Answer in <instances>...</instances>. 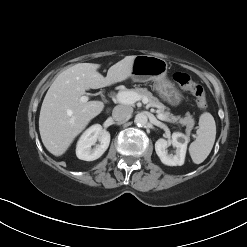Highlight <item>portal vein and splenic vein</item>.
<instances>
[{"instance_id":"1","label":"portal vein and splenic vein","mask_w":247,"mask_h":247,"mask_svg":"<svg viewBox=\"0 0 247 247\" xmlns=\"http://www.w3.org/2000/svg\"><path fill=\"white\" fill-rule=\"evenodd\" d=\"M116 100L119 102V103H122V104H127V105H132L134 104L135 102L139 101V100H142L143 103H148V99L146 97H141L139 95H137L136 93L134 92H131V91H120L118 92V94L116 95ZM88 101V97L87 96H82L80 98V102L82 103H85ZM157 118L162 120V121H172L168 118H166L164 115L158 113L157 114Z\"/></svg>"}]
</instances>
